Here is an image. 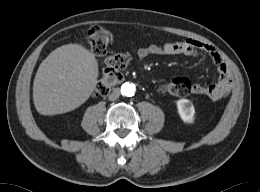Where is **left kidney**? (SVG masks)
Here are the masks:
<instances>
[{
  "label": "left kidney",
  "instance_id": "5707ae66",
  "mask_svg": "<svg viewBox=\"0 0 260 192\" xmlns=\"http://www.w3.org/2000/svg\"><path fill=\"white\" fill-rule=\"evenodd\" d=\"M177 109L181 119L185 123H193L195 109L191 101H189L188 99L178 100Z\"/></svg>",
  "mask_w": 260,
  "mask_h": 192
}]
</instances>
